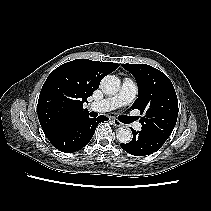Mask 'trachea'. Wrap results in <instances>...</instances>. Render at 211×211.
I'll use <instances>...</instances> for the list:
<instances>
[{"label": "trachea", "mask_w": 211, "mask_h": 211, "mask_svg": "<svg viewBox=\"0 0 211 211\" xmlns=\"http://www.w3.org/2000/svg\"><path fill=\"white\" fill-rule=\"evenodd\" d=\"M133 119H134L133 117H127L125 122H128V123L132 122V121H134Z\"/></svg>", "instance_id": "3493384b"}]
</instances>
